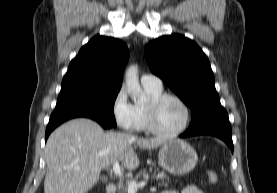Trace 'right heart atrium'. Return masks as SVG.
Returning a JSON list of instances; mask_svg holds the SVG:
<instances>
[{
    "instance_id": "1",
    "label": "right heart atrium",
    "mask_w": 277,
    "mask_h": 193,
    "mask_svg": "<svg viewBox=\"0 0 277 193\" xmlns=\"http://www.w3.org/2000/svg\"><path fill=\"white\" fill-rule=\"evenodd\" d=\"M111 112L115 123L121 129L127 131L137 129L135 107L129 102L123 88H120L115 94L111 104Z\"/></svg>"
}]
</instances>
